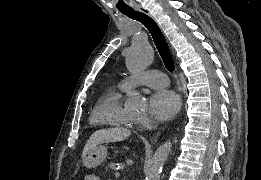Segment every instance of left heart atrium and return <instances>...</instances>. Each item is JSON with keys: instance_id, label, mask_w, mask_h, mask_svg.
I'll list each match as a JSON object with an SVG mask.
<instances>
[{"instance_id": "obj_1", "label": "left heart atrium", "mask_w": 261, "mask_h": 180, "mask_svg": "<svg viewBox=\"0 0 261 180\" xmlns=\"http://www.w3.org/2000/svg\"><path fill=\"white\" fill-rule=\"evenodd\" d=\"M179 105V97L175 92L166 88L157 89L149 96L146 109L142 111L140 120L149 117L167 119L177 112Z\"/></svg>"}]
</instances>
